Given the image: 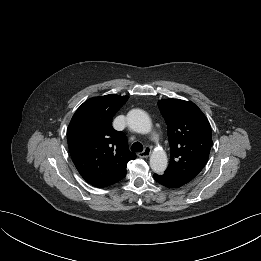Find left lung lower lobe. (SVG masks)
<instances>
[{"mask_svg":"<svg viewBox=\"0 0 261 261\" xmlns=\"http://www.w3.org/2000/svg\"><path fill=\"white\" fill-rule=\"evenodd\" d=\"M154 179L159 184H161L165 187H168V188H179V187L185 185L184 183H182L174 178H171L165 174H162V175L154 174Z\"/></svg>","mask_w":261,"mask_h":261,"instance_id":"1","label":"left lung lower lobe"}]
</instances>
